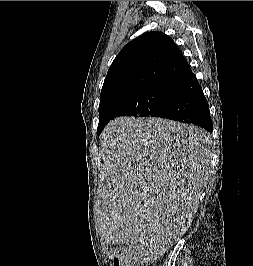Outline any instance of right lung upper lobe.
Returning a JSON list of instances; mask_svg holds the SVG:
<instances>
[{
    "instance_id": "cb5924a9",
    "label": "right lung upper lobe",
    "mask_w": 253,
    "mask_h": 266,
    "mask_svg": "<svg viewBox=\"0 0 253 266\" xmlns=\"http://www.w3.org/2000/svg\"><path fill=\"white\" fill-rule=\"evenodd\" d=\"M174 41L162 32H147L122 48L105 78L100 104L144 86L170 83L190 71Z\"/></svg>"
}]
</instances>
